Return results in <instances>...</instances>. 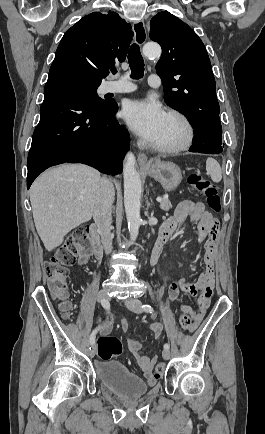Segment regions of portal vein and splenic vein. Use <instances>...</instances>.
Wrapping results in <instances>:
<instances>
[{
	"instance_id": "18ae733b",
	"label": "portal vein and splenic vein",
	"mask_w": 265,
	"mask_h": 434,
	"mask_svg": "<svg viewBox=\"0 0 265 434\" xmlns=\"http://www.w3.org/2000/svg\"><path fill=\"white\" fill-rule=\"evenodd\" d=\"M77 200H83V198H77ZM157 202H162V198H156Z\"/></svg>"
}]
</instances>
